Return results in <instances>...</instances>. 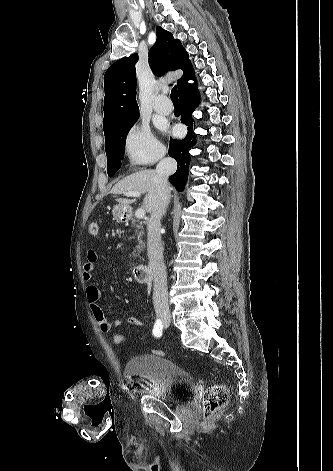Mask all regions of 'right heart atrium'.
Masks as SVG:
<instances>
[{
	"label": "right heart atrium",
	"mask_w": 333,
	"mask_h": 471,
	"mask_svg": "<svg viewBox=\"0 0 333 471\" xmlns=\"http://www.w3.org/2000/svg\"><path fill=\"white\" fill-rule=\"evenodd\" d=\"M124 152L133 164L154 163L164 155L163 145L145 124L132 125L124 137Z\"/></svg>",
	"instance_id": "right-heart-atrium-1"
}]
</instances>
